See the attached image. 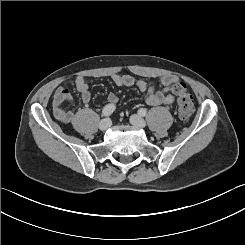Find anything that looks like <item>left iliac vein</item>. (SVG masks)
<instances>
[{
    "label": "left iliac vein",
    "instance_id": "4c4485c4",
    "mask_svg": "<svg viewBox=\"0 0 245 245\" xmlns=\"http://www.w3.org/2000/svg\"><path fill=\"white\" fill-rule=\"evenodd\" d=\"M130 122L132 125L138 128H143L146 125L145 120L138 114L131 115Z\"/></svg>",
    "mask_w": 245,
    "mask_h": 245
}]
</instances>
